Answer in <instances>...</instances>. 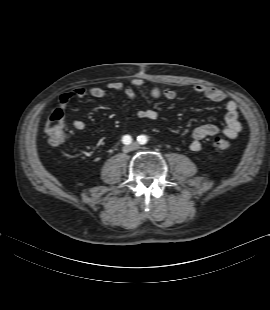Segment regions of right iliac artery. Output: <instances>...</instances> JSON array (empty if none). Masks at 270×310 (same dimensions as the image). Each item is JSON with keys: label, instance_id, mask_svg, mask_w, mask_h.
Returning <instances> with one entry per match:
<instances>
[{"label": "right iliac artery", "instance_id": "obj_1", "mask_svg": "<svg viewBox=\"0 0 270 310\" xmlns=\"http://www.w3.org/2000/svg\"><path fill=\"white\" fill-rule=\"evenodd\" d=\"M122 141L124 144L128 145L132 142V138L129 135H125V136H123Z\"/></svg>", "mask_w": 270, "mask_h": 310}]
</instances>
